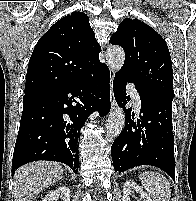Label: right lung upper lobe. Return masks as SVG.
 <instances>
[{
    "label": "right lung upper lobe",
    "instance_id": "1",
    "mask_svg": "<svg viewBox=\"0 0 196 201\" xmlns=\"http://www.w3.org/2000/svg\"><path fill=\"white\" fill-rule=\"evenodd\" d=\"M100 51L86 14L73 12L63 17L34 48L27 69L25 94L77 78L100 62Z\"/></svg>",
    "mask_w": 196,
    "mask_h": 201
}]
</instances>
